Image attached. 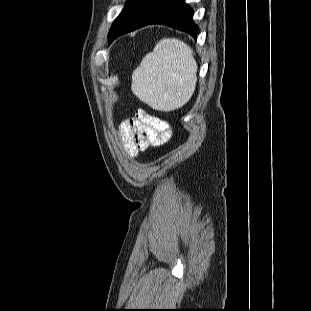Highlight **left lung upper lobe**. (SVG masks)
<instances>
[{
    "label": "left lung upper lobe",
    "mask_w": 311,
    "mask_h": 311,
    "mask_svg": "<svg viewBox=\"0 0 311 311\" xmlns=\"http://www.w3.org/2000/svg\"><path fill=\"white\" fill-rule=\"evenodd\" d=\"M112 28H113V25H112V27H111V29H110V32H109L108 37L110 36V34H111V32H112Z\"/></svg>",
    "instance_id": "left-lung-upper-lobe-1"
}]
</instances>
